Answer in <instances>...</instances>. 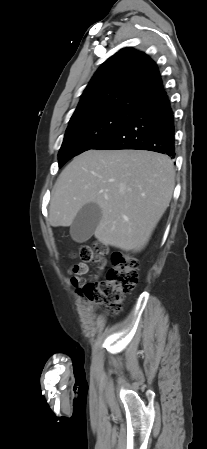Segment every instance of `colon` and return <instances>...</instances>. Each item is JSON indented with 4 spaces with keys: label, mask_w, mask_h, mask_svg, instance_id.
Returning a JSON list of instances; mask_svg holds the SVG:
<instances>
[{
    "label": "colon",
    "mask_w": 207,
    "mask_h": 449,
    "mask_svg": "<svg viewBox=\"0 0 207 449\" xmlns=\"http://www.w3.org/2000/svg\"><path fill=\"white\" fill-rule=\"evenodd\" d=\"M108 250L100 242L79 246L76 256L84 263H95L100 274L108 264ZM112 267L106 272V278L100 282H86L78 289L87 299L104 307L111 314L121 309L123 295L131 292L138 283V261L127 253H114Z\"/></svg>",
    "instance_id": "5ec220e1"
}]
</instances>
